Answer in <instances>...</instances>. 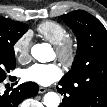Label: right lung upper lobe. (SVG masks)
Masks as SVG:
<instances>
[{
  "label": "right lung upper lobe",
  "instance_id": "cb5924a9",
  "mask_svg": "<svg viewBox=\"0 0 107 107\" xmlns=\"http://www.w3.org/2000/svg\"><path fill=\"white\" fill-rule=\"evenodd\" d=\"M5 19L3 17H0V40L5 39L7 35V30L5 29Z\"/></svg>",
  "mask_w": 107,
  "mask_h": 107
}]
</instances>
